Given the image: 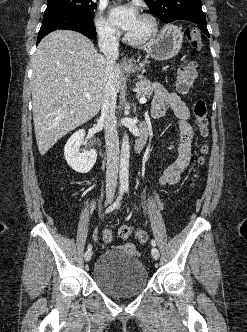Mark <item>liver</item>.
<instances>
[{"mask_svg": "<svg viewBox=\"0 0 247 332\" xmlns=\"http://www.w3.org/2000/svg\"><path fill=\"white\" fill-rule=\"evenodd\" d=\"M32 70L33 121L38 150L44 155L61 137L99 112L108 80L106 58L84 35L57 30L39 43ZM121 76V66L114 64L117 92Z\"/></svg>", "mask_w": 247, "mask_h": 332, "instance_id": "obj_1", "label": "liver"}]
</instances>
